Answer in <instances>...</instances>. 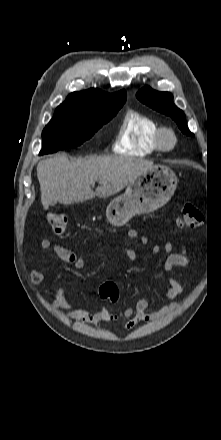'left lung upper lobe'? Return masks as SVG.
Returning <instances> with one entry per match:
<instances>
[{"label": "left lung upper lobe", "mask_w": 221, "mask_h": 440, "mask_svg": "<svg viewBox=\"0 0 221 440\" xmlns=\"http://www.w3.org/2000/svg\"><path fill=\"white\" fill-rule=\"evenodd\" d=\"M137 98L144 104L170 116L179 126L181 131L188 136H194L187 127L185 114L172 102L173 96L168 92H158L150 87H144L137 93Z\"/></svg>", "instance_id": "left-lung-upper-lobe-1"}]
</instances>
